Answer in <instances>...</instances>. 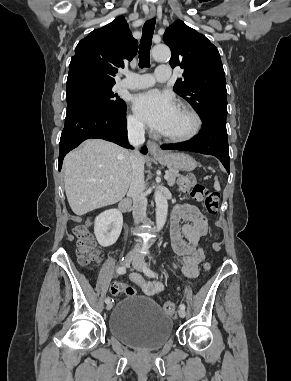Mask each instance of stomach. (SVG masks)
Here are the masks:
<instances>
[{"mask_svg":"<svg viewBox=\"0 0 291 381\" xmlns=\"http://www.w3.org/2000/svg\"><path fill=\"white\" fill-rule=\"evenodd\" d=\"M154 158L162 165L178 171H192L197 166L195 159L186 153L167 152L162 155H155Z\"/></svg>","mask_w":291,"mask_h":381,"instance_id":"1","label":"stomach"}]
</instances>
